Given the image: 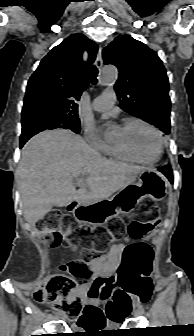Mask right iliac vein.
Returning a JSON list of instances; mask_svg holds the SVG:
<instances>
[{
  "mask_svg": "<svg viewBox=\"0 0 194 336\" xmlns=\"http://www.w3.org/2000/svg\"><path fill=\"white\" fill-rule=\"evenodd\" d=\"M60 317H61V314L60 313H56L55 318L59 319Z\"/></svg>",
  "mask_w": 194,
  "mask_h": 336,
  "instance_id": "right-iliac-vein-1",
  "label": "right iliac vein"
}]
</instances>
